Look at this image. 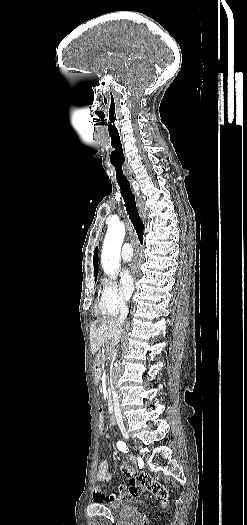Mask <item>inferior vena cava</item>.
<instances>
[{
  "label": "inferior vena cava",
  "mask_w": 247,
  "mask_h": 525,
  "mask_svg": "<svg viewBox=\"0 0 247 525\" xmlns=\"http://www.w3.org/2000/svg\"><path fill=\"white\" fill-rule=\"evenodd\" d=\"M129 311H128V307L126 305V303H120V315L116 321V323H119V325H124L126 319H127V315H128ZM116 393V391H115ZM117 397V395H116Z\"/></svg>",
  "instance_id": "1"
}]
</instances>
